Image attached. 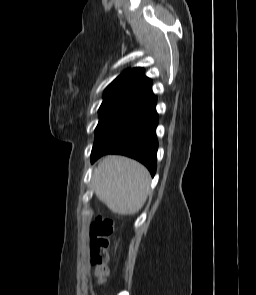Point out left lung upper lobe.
Returning <instances> with one entry per match:
<instances>
[{
  "label": "left lung upper lobe",
  "instance_id": "1",
  "mask_svg": "<svg viewBox=\"0 0 256 295\" xmlns=\"http://www.w3.org/2000/svg\"><path fill=\"white\" fill-rule=\"evenodd\" d=\"M154 99L151 80L144 75L143 68L122 72L104 91L103 102L98 111L95 142Z\"/></svg>",
  "mask_w": 256,
  "mask_h": 295
}]
</instances>
